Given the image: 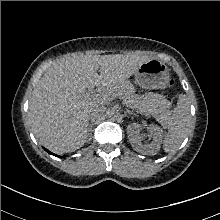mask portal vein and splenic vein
Listing matches in <instances>:
<instances>
[{
  "instance_id": "portal-vein-and-splenic-vein-1",
  "label": "portal vein and splenic vein",
  "mask_w": 220,
  "mask_h": 220,
  "mask_svg": "<svg viewBox=\"0 0 220 220\" xmlns=\"http://www.w3.org/2000/svg\"><path fill=\"white\" fill-rule=\"evenodd\" d=\"M95 96H97V94L96 93H93V92H89V93H86V97H95Z\"/></svg>"
}]
</instances>
